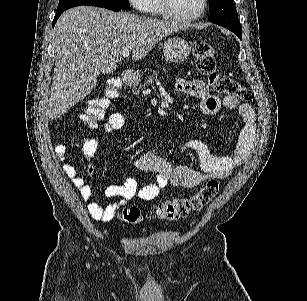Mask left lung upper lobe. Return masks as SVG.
I'll use <instances>...</instances> for the list:
<instances>
[{"mask_svg": "<svg viewBox=\"0 0 307 301\" xmlns=\"http://www.w3.org/2000/svg\"><path fill=\"white\" fill-rule=\"evenodd\" d=\"M210 21L224 26L242 38V29L232 0H209Z\"/></svg>", "mask_w": 307, "mask_h": 301, "instance_id": "1", "label": "left lung upper lobe"}]
</instances>
